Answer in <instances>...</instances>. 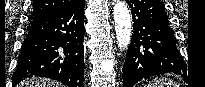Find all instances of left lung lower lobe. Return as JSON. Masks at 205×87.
Listing matches in <instances>:
<instances>
[{
    "label": "left lung lower lobe",
    "instance_id": "obj_1",
    "mask_svg": "<svg viewBox=\"0 0 205 87\" xmlns=\"http://www.w3.org/2000/svg\"><path fill=\"white\" fill-rule=\"evenodd\" d=\"M133 18V35L123 66V86L154 75L174 72L183 76L174 32L160 0H126Z\"/></svg>",
    "mask_w": 205,
    "mask_h": 87
}]
</instances>
